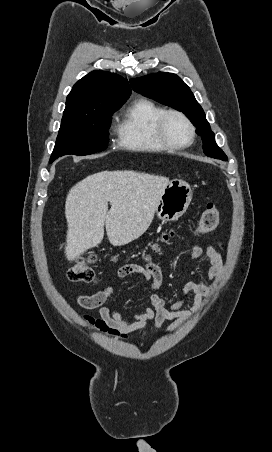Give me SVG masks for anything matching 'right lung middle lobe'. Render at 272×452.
Wrapping results in <instances>:
<instances>
[{
	"label": "right lung middle lobe",
	"mask_w": 272,
	"mask_h": 452,
	"mask_svg": "<svg viewBox=\"0 0 272 452\" xmlns=\"http://www.w3.org/2000/svg\"><path fill=\"white\" fill-rule=\"evenodd\" d=\"M122 104L100 109L87 116L62 119L50 163L67 154L82 156L105 150L109 141L111 115Z\"/></svg>",
	"instance_id": "obj_1"
}]
</instances>
